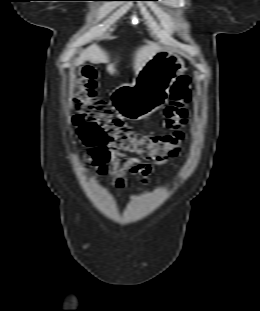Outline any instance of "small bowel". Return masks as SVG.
<instances>
[{
  "instance_id": "c3829d8e",
  "label": "small bowel",
  "mask_w": 260,
  "mask_h": 311,
  "mask_svg": "<svg viewBox=\"0 0 260 311\" xmlns=\"http://www.w3.org/2000/svg\"><path fill=\"white\" fill-rule=\"evenodd\" d=\"M165 161H144L138 157H130L121 161V158L116 153L112 154L110 176L112 184L118 189L126 187V174L131 175L141 174L144 177L149 176L156 164H163ZM107 171V166L98 168L97 173L104 174Z\"/></svg>"
}]
</instances>
